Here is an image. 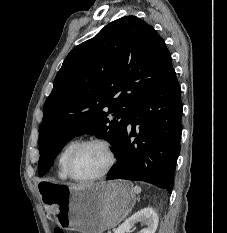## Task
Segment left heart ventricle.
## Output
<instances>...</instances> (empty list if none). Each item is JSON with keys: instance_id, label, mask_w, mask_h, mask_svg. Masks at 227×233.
Masks as SVG:
<instances>
[{"instance_id": "left-heart-ventricle-1", "label": "left heart ventricle", "mask_w": 227, "mask_h": 233, "mask_svg": "<svg viewBox=\"0 0 227 233\" xmlns=\"http://www.w3.org/2000/svg\"><path fill=\"white\" fill-rule=\"evenodd\" d=\"M107 162V154L101 146L87 145L75 153L71 168L76 177L87 178L99 174Z\"/></svg>"}]
</instances>
